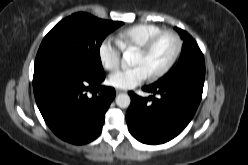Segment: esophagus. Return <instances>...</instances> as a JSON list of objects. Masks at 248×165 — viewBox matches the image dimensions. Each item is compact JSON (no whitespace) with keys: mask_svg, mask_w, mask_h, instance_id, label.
<instances>
[{"mask_svg":"<svg viewBox=\"0 0 248 165\" xmlns=\"http://www.w3.org/2000/svg\"><path fill=\"white\" fill-rule=\"evenodd\" d=\"M122 92H124V91L121 90V89H116V93H117V94L122 93Z\"/></svg>","mask_w":248,"mask_h":165,"instance_id":"obj_1","label":"esophagus"}]
</instances>
